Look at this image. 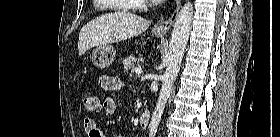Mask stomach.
<instances>
[{
    "label": "stomach",
    "instance_id": "0dacf381",
    "mask_svg": "<svg viewBox=\"0 0 280 137\" xmlns=\"http://www.w3.org/2000/svg\"><path fill=\"white\" fill-rule=\"evenodd\" d=\"M155 36H162L157 30H153ZM116 59V51L112 45L98 46L92 54V62L97 68H106Z\"/></svg>",
    "mask_w": 280,
    "mask_h": 137
}]
</instances>
